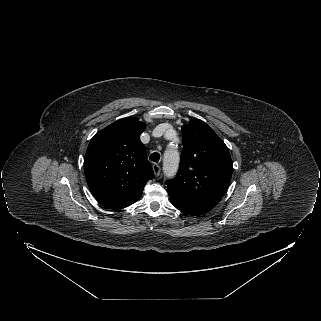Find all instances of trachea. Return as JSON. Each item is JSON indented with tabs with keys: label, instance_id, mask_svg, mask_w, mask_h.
<instances>
[{
	"label": "trachea",
	"instance_id": "1",
	"mask_svg": "<svg viewBox=\"0 0 321 321\" xmlns=\"http://www.w3.org/2000/svg\"><path fill=\"white\" fill-rule=\"evenodd\" d=\"M149 159L153 162H158L160 160V154L154 152L150 155Z\"/></svg>",
	"mask_w": 321,
	"mask_h": 321
}]
</instances>
